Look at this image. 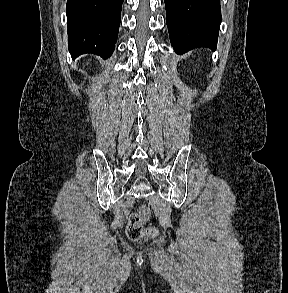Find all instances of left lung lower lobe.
<instances>
[{
	"instance_id": "1",
	"label": "left lung lower lobe",
	"mask_w": 288,
	"mask_h": 293,
	"mask_svg": "<svg viewBox=\"0 0 288 293\" xmlns=\"http://www.w3.org/2000/svg\"><path fill=\"white\" fill-rule=\"evenodd\" d=\"M167 26L177 54L198 47L215 50L221 23L220 0H164Z\"/></svg>"
}]
</instances>
